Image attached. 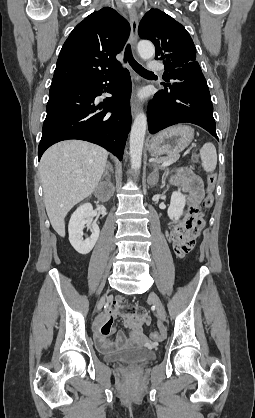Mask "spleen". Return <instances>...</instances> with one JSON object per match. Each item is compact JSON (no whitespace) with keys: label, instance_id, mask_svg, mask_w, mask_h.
<instances>
[{"label":"spleen","instance_id":"obj_1","mask_svg":"<svg viewBox=\"0 0 255 418\" xmlns=\"http://www.w3.org/2000/svg\"><path fill=\"white\" fill-rule=\"evenodd\" d=\"M200 157L202 161V167L206 172H212L217 165V153L215 146L208 142L205 143L200 149Z\"/></svg>","mask_w":255,"mask_h":418}]
</instances>
